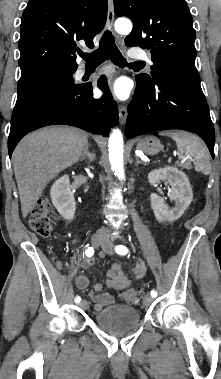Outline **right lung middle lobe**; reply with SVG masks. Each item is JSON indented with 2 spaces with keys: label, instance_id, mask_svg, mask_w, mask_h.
Segmentation results:
<instances>
[{
  "label": "right lung middle lobe",
  "instance_id": "dd1d6c3e",
  "mask_svg": "<svg viewBox=\"0 0 221 379\" xmlns=\"http://www.w3.org/2000/svg\"><path fill=\"white\" fill-rule=\"evenodd\" d=\"M76 69H56L44 72L18 83V97L12 119L25 111L38 97L53 92L57 85L78 87L72 75Z\"/></svg>",
  "mask_w": 221,
  "mask_h": 379
}]
</instances>
